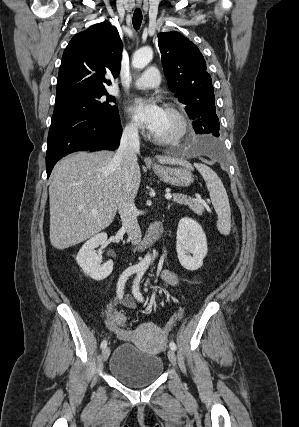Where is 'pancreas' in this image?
Segmentation results:
<instances>
[{
	"mask_svg": "<svg viewBox=\"0 0 299 427\" xmlns=\"http://www.w3.org/2000/svg\"><path fill=\"white\" fill-rule=\"evenodd\" d=\"M173 201L188 206L197 215H202L204 212L205 203L201 199H193L186 195L175 193L173 194Z\"/></svg>",
	"mask_w": 299,
	"mask_h": 427,
	"instance_id": "pancreas-1",
	"label": "pancreas"
}]
</instances>
